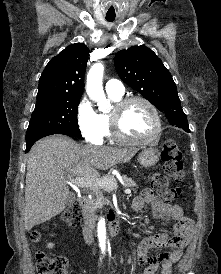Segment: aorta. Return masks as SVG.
Instances as JSON below:
<instances>
[{
	"instance_id": "1",
	"label": "aorta",
	"mask_w": 221,
	"mask_h": 274,
	"mask_svg": "<svg viewBox=\"0 0 221 274\" xmlns=\"http://www.w3.org/2000/svg\"><path fill=\"white\" fill-rule=\"evenodd\" d=\"M104 66L102 63L94 64L87 74L86 90L89 98L97 103L99 108H103L109 103L103 91ZM98 240L101 251L106 250V225L105 220L100 219L97 227Z\"/></svg>"
}]
</instances>
